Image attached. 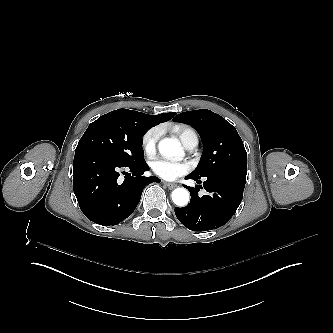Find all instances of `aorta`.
Returning a JSON list of instances; mask_svg holds the SVG:
<instances>
[{"instance_id":"762f6f07","label":"aorta","mask_w":333,"mask_h":333,"mask_svg":"<svg viewBox=\"0 0 333 333\" xmlns=\"http://www.w3.org/2000/svg\"><path fill=\"white\" fill-rule=\"evenodd\" d=\"M158 151L165 158H172L182 154V148L177 139L163 138L158 143ZM189 192L185 188H176L172 191L171 198L178 206H185L189 201Z\"/></svg>"}]
</instances>
